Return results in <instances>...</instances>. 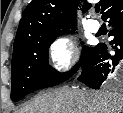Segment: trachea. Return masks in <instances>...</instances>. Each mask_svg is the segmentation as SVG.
<instances>
[{
	"label": "trachea",
	"instance_id": "1",
	"mask_svg": "<svg viewBox=\"0 0 123 113\" xmlns=\"http://www.w3.org/2000/svg\"><path fill=\"white\" fill-rule=\"evenodd\" d=\"M95 11L98 13L100 11V7L99 6H95Z\"/></svg>",
	"mask_w": 123,
	"mask_h": 113
}]
</instances>
